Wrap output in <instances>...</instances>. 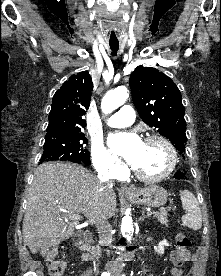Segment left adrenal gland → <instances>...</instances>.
<instances>
[{"label":"left adrenal gland","instance_id":"obj_1","mask_svg":"<svg viewBox=\"0 0 221 276\" xmlns=\"http://www.w3.org/2000/svg\"><path fill=\"white\" fill-rule=\"evenodd\" d=\"M141 214L142 215L140 216L139 221H143L145 218H147V216L145 215V211H142Z\"/></svg>","mask_w":221,"mask_h":276}]
</instances>
